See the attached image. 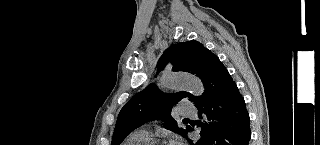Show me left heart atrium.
Returning a JSON list of instances; mask_svg holds the SVG:
<instances>
[{
    "label": "left heart atrium",
    "mask_w": 320,
    "mask_h": 145,
    "mask_svg": "<svg viewBox=\"0 0 320 145\" xmlns=\"http://www.w3.org/2000/svg\"><path fill=\"white\" fill-rule=\"evenodd\" d=\"M174 145H180L179 141H178V140H175V141H174Z\"/></svg>",
    "instance_id": "39dd6f15"
}]
</instances>
